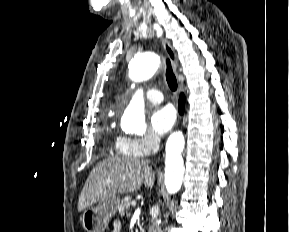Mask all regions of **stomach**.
I'll return each mask as SVG.
<instances>
[{
    "label": "stomach",
    "mask_w": 289,
    "mask_h": 232,
    "mask_svg": "<svg viewBox=\"0 0 289 232\" xmlns=\"http://www.w3.org/2000/svg\"><path fill=\"white\" fill-rule=\"evenodd\" d=\"M119 203V198L114 196L85 209L81 215L83 228L87 232H104L110 219L116 214Z\"/></svg>",
    "instance_id": "0dacf381"
}]
</instances>
